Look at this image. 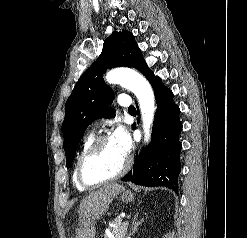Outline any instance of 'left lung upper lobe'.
Returning a JSON list of instances; mask_svg holds the SVG:
<instances>
[{
    "label": "left lung upper lobe",
    "mask_w": 247,
    "mask_h": 238,
    "mask_svg": "<svg viewBox=\"0 0 247 238\" xmlns=\"http://www.w3.org/2000/svg\"><path fill=\"white\" fill-rule=\"evenodd\" d=\"M120 66L133 67L146 77L151 72L133 35L126 30L113 32L104 41L101 55L80 77L66 102L62 129L67 167L73 161L87 126L96 119L115 116V111L109 109L114 92L102 76L106 68Z\"/></svg>",
    "instance_id": "left-lung-upper-lobe-1"
}]
</instances>
